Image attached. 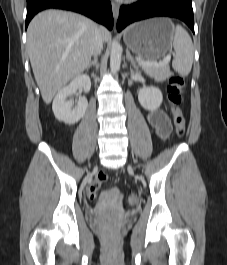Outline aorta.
I'll return each mask as SVG.
<instances>
[{
  "label": "aorta",
  "mask_w": 227,
  "mask_h": 265,
  "mask_svg": "<svg viewBox=\"0 0 227 265\" xmlns=\"http://www.w3.org/2000/svg\"><path fill=\"white\" fill-rule=\"evenodd\" d=\"M121 54L122 48L120 44L117 41H113L110 52V69L113 74H115L120 69Z\"/></svg>",
  "instance_id": "762f6f07"
}]
</instances>
